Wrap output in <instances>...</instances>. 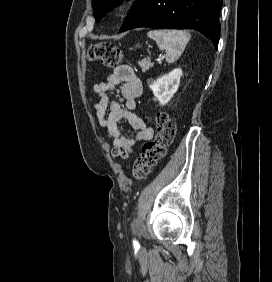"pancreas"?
Wrapping results in <instances>:
<instances>
[{
    "mask_svg": "<svg viewBox=\"0 0 272 282\" xmlns=\"http://www.w3.org/2000/svg\"><path fill=\"white\" fill-rule=\"evenodd\" d=\"M138 64L142 68L143 72H145L148 69H150V67H153V63H151L150 61H146V60L139 61Z\"/></svg>",
    "mask_w": 272,
    "mask_h": 282,
    "instance_id": "obj_1",
    "label": "pancreas"
}]
</instances>
